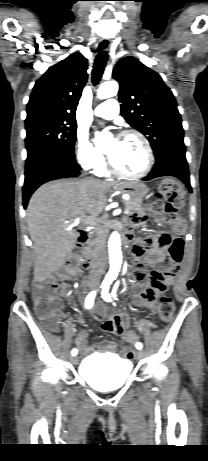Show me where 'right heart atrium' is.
Returning a JSON list of instances; mask_svg holds the SVG:
<instances>
[{
  "instance_id": "obj_1",
  "label": "right heart atrium",
  "mask_w": 208,
  "mask_h": 461,
  "mask_svg": "<svg viewBox=\"0 0 208 461\" xmlns=\"http://www.w3.org/2000/svg\"><path fill=\"white\" fill-rule=\"evenodd\" d=\"M75 156L78 164L85 170H94L103 160V154L88 140L85 134H78L75 143Z\"/></svg>"
}]
</instances>
